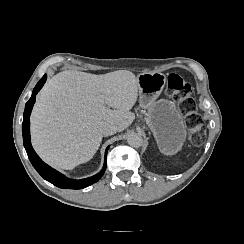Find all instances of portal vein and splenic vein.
<instances>
[{
	"instance_id": "18ae733b",
	"label": "portal vein and splenic vein",
	"mask_w": 244,
	"mask_h": 244,
	"mask_svg": "<svg viewBox=\"0 0 244 244\" xmlns=\"http://www.w3.org/2000/svg\"><path fill=\"white\" fill-rule=\"evenodd\" d=\"M100 102H101V103H104V100H103V99H101V100H100Z\"/></svg>"
}]
</instances>
